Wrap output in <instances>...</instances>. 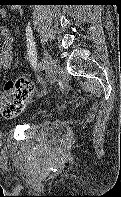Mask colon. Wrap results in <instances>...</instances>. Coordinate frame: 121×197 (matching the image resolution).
Listing matches in <instances>:
<instances>
[{
  "label": "colon",
  "mask_w": 121,
  "mask_h": 197,
  "mask_svg": "<svg viewBox=\"0 0 121 197\" xmlns=\"http://www.w3.org/2000/svg\"><path fill=\"white\" fill-rule=\"evenodd\" d=\"M34 85L27 78L6 82L0 89V113L4 118L19 116L26 107L27 99L33 94Z\"/></svg>",
  "instance_id": "colon-1"
}]
</instances>
